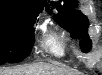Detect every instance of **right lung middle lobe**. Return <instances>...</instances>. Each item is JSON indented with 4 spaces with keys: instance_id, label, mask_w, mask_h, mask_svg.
<instances>
[{
    "instance_id": "obj_1",
    "label": "right lung middle lobe",
    "mask_w": 102,
    "mask_h": 75,
    "mask_svg": "<svg viewBox=\"0 0 102 75\" xmlns=\"http://www.w3.org/2000/svg\"><path fill=\"white\" fill-rule=\"evenodd\" d=\"M35 17L0 13V64L25 59L34 43Z\"/></svg>"
}]
</instances>
